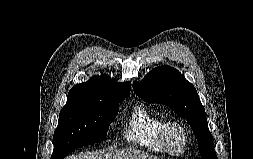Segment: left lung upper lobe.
Wrapping results in <instances>:
<instances>
[{"label":"left lung upper lobe","mask_w":253,"mask_h":159,"mask_svg":"<svg viewBox=\"0 0 253 159\" xmlns=\"http://www.w3.org/2000/svg\"><path fill=\"white\" fill-rule=\"evenodd\" d=\"M134 92L147 103L168 106L190 124L202 159H217L206 113L193 84L173 67L154 68L141 82H133Z\"/></svg>","instance_id":"obj_1"}]
</instances>
